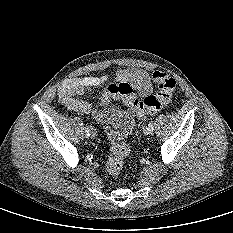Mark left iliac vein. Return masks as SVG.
I'll use <instances>...</instances> for the list:
<instances>
[{"instance_id": "left-iliac-vein-1", "label": "left iliac vein", "mask_w": 233, "mask_h": 233, "mask_svg": "<svg viewBox=\"0 0 233 233\" xmlns=\"http://www.w3.org/2000/svg\"><path fill=\"white\" fill-rule=\"evenodd\" d=\"M141 133H142L143 135L151 134L150 131H149L147 128H143V129L141 130Z\"/></svg>"}]
</instances>
